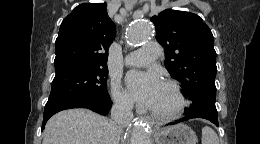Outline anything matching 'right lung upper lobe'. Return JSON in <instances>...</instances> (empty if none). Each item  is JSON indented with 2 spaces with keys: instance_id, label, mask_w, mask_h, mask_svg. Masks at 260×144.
<instances>
[{
  "instance_id": "cb5924a9",
  "label": "right lung upper lobe",
  "mask_w": 260,
  "mask_h": 144,
  "mask_svg": "<svg viewBox=\"0 0 260 144\" xmlns=\"http://www.w3.org/2000/svg\"><path fill=\"white\" fill-rule=\"evenodd\" d=\"M116 26L106 3H83L63 20L55 43V68L65 65L107 66Z\"/></svg>"
}]
</instances>
